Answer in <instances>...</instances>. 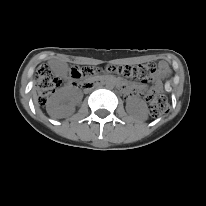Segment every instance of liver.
<instances>
[{
	"label": "liver",
	"instance_id": "liver-1",
	"mask_svg": "<svg viewBox=\"0 0 206 206\" xmlns=\"http://www.w3.org/2000/svg\"><path fill=\"white\" fill-rule=\"evenodd\" d=\"M31 93H32L34 104L38 108L39 104H38V98L35 89H32ZM48 113L50 114L51 117L56 119L65 118L66 116H68L66 112H54L48 110Z\"/></svg>",
	"mask_w": 206,
	"mask_h": 206
}]
</instances>
